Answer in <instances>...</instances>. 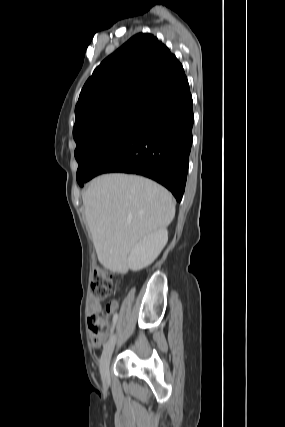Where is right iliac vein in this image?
I'll return each instance as SVG.
<instances>
[{
    "label": "right iliac vein",
    "instance_id": "63e3f726",
    "mask_svg": "<svg viewBox=\"0 0 285 427\" xmlns=\"http://www.w3.org/2000/svg\"><path fill=\"white\" fill-rule=\"evenodd\" d=\"M115 343H116V335H113L105 345L100 358V364H99L100 374H101V378L105 381L109 380V366H110V360H111L112 352L114 350Z\"/></svg>",
    "mask_w": 285,
    "mask_h": 427
}]
</instances>
